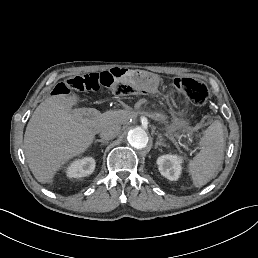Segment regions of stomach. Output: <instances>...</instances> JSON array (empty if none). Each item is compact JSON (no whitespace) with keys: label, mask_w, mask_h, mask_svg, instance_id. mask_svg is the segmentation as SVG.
<instances>
[{"label":"stomach","mask_w":258,"mask_h":258,"mask_svg":"<svg viewBox=\"0 0 258 258\" xmlns=\"http://www.w3.org/2000/svg\"><path fill=\"white\" fill-rule=\"evenodd\" d=\"M139 76H140L141 78H143V79H146V78H148V77H149L148 75L143 74V73H140V74H139Z\"/></svg>","instance_id":"0dacf381"}]
</instances>
